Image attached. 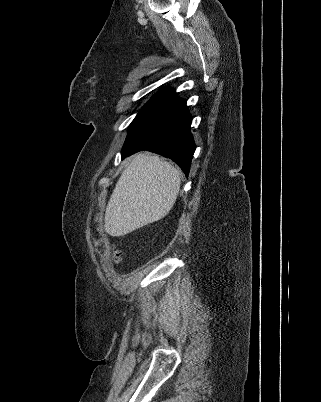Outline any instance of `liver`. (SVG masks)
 <instances>
[{
  "instance_id": "obj_1",
  "label": "liver",
  "mask_w": 321,
  "mask_h": 402,
  "mask_svg": "<svg viewBox=\"0 0 321 402\" xmlns=\"http://www.w3.org/2000/svg\"><path fill=\"white\" fill-rule=\"evenodd\" d=\"M180 172L157 155L138 154L122 172L105 212V231L124 236L165 217L180 189Z\"/></svg>"
}]
</instances>
